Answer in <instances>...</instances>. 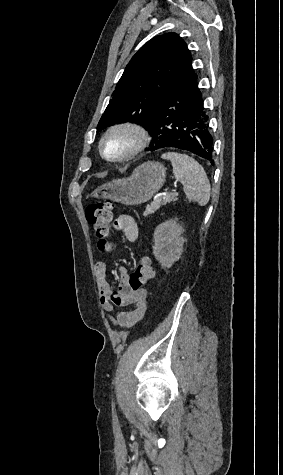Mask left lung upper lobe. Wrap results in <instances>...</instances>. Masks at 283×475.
I'll return each mask as SVG.
<instances>
[{"instance_id": "obj_1", "label": "left lung upper lobe", "mask_w": 283, "mask_h": 475, "mask_svg": "<svg viewBox=\"0 0 283 475\" xmlns=\"http://www.w3.org/2000/svg\"><path fill=\"white\" fill-rule=\"evenodd\" d=\"M193 72L191 53L181 37L172 32L154 37L126 66L97 131L126 121L145 128L163 97Z\"/></svg>"}]
</instances>
